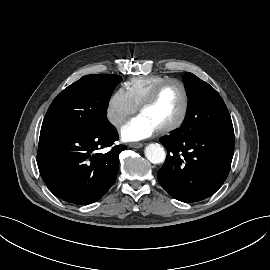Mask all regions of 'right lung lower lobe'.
<instances>
[{
  "label": "right lung lower lobe",
  "instance_id": "right-lung-lower-lobe-1",
  "mask_svg": "<svg viewBox=\"0 0 270 270\" xmlns=\"http://www.w3.org/2000/svg\"><path fill=\"white\" fill-rule=\"evenodd\" d=\"M119 136L112 124L99 130H41L37 164L49 190L74 204L99 200L112 186L119 167L118 156L125 145L110 147Z\"/></svg>",
  "mask_w": 270,
  "mask_h": 270
}]
</instances>
